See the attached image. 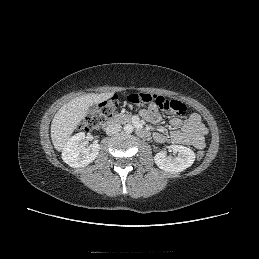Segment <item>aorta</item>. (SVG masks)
<instances>
[{
	"mask_svg": "<svg viewBox=\"0 0 259 259\" xmlns=\"http://www.w3.org/2000/svg\"><path fill=\"white\" fill-rule=\"evenodd\" d=\"M133 126L131 124H126L124 126V132L127 133V134H130L133 132Z\"/></svg>",
	"mask_w": 259,
	"mask_h": 259,
	"instance_id": "obj_1",
	"label": "aorta"
}]
</instances>
